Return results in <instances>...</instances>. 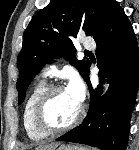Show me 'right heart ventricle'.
I'll return each mask as SVG.
<instances>
[{
    "label": "right heart ventricle",
    "instance_id": "obj_1",
    "mask_svg": "<svg viewBox=\"0 0 139 150\" xmlns=\"http://www.w3.org/2000/svg\"><path fill=\"white\" fill-rule=\"evenodd\" d=\"M47 84L45 80L39 81L30 92L23 109L22 121L24 130L27 136L35 141L44 139L47 135L40 133L36 130L33 124V109L35 103L42 93V91L46 88Z\"/></svg>",
    "mask_w": 139,
    "mask_h": 150
}]
</instances>
